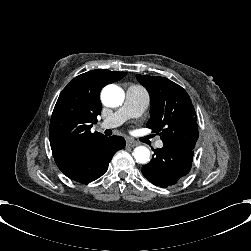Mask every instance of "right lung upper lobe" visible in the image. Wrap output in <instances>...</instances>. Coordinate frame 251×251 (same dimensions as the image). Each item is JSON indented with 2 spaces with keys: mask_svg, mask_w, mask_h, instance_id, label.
Masks as SVG:
<instances>
[{
  "mask_svg": "<svg viewBox=\"0 0 251 251\" xmlns=\"http://www.w3.org/2000/svg\"><path fill=\"white\" fill-rule=\"evenodd\" d=\"M127 73L109 70H91L81 74L63 89L54 107L49 137L52 154L60 170L83 158L90 147L104 137L91 133L101 113L100 91L119 81Z\"/></svg>",
  "mask_w": 251,
  "mask_h": 251,
  "instance_id": "right-lung-upper-lobe-1",
  "label": "right lung upper lobe"
}]
</instances>
